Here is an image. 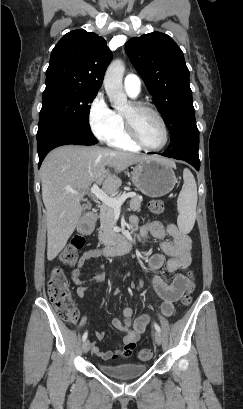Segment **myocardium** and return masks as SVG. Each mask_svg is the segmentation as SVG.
Segmentation results:
<instances>
[{
	"mask_svg": "<svg viewBox=\"0 0 243 409\" xmlns=\"http://www.w3.org/2000/svg\"><path fill=\"white\" fill-rule=\"evenodd\" d=\"M129 106L131 108V110L133 112H138L141 110H146L149 111L150 113H152L160 122L162 129H163V133H164V141L161 145L153 147V146H149L147 145L139 136L132 120L124 115L123 113H121V117L124 120V124H125V129H126V133L129 137V139L135 143L137 146L148 150V151H160L163 148H165L168 144L169 141V130L166 124V121L164 120L163 116L160 114L159 111H157L153 106H151L149 103L144 102V101H140V100H132L129 103Z\"/></svg>",
	"mask_w": 243,
	"mask_h": 409,
	"instance_id": "myocardium-1",
	"label": "myocardium"
}]
</instances>
